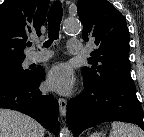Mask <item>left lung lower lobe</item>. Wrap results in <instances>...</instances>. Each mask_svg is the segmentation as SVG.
<instances>
[{"mask_svg": "<svg viewBox=\"0 0 144 137\" xmlns=\"http://www.w3.org/2000/svg\"><path fill=\"white\" fill-rule=\"evenodd\" d=\"M67 121L75 137L105 121L134 123L144 130L143 110L135 87L118 84L84 85L83 92L68 102Z\"/></svg>", "mask_w": 144, "mask_h": 137, "instance_id": "left-lung-lower-lobe-1", "label": "left lung lower lobe"}]
</instances>
